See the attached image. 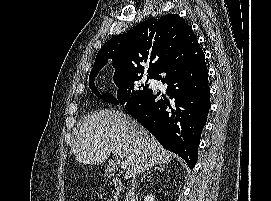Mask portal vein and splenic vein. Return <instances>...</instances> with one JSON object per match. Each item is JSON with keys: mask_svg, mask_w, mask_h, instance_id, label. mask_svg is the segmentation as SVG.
<instances>
[{"mask_svg": "<svg viewBox=\"0 0 271 201\" xmlns=\"http://www.w3.org/2000/svg\"><path fill=\"white\" fill-rule=\"evenodd\" d=\"M115 155L122 157L120 154H115ZM120 165H121V168L125 169L128 167V161L127 160L121 161Z\"/></svg>", "mask_w": 271, "mask_h": 201, "instance_id": "1", "label": "portal vein and splenic vein"}]
</instances>
